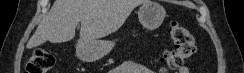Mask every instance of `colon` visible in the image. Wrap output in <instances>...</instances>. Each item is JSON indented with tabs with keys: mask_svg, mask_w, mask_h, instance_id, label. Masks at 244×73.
<instances>
[{
	"mask_svg": "<svg viewBox=\"0 0 244 73\" xmlns=\"http://www.w3.org/2000/svg\"><path fill=\"white\" fill-rule=\"evenodd\" d=\"M170 34L173 47L164 50L158 58L165 72L174 71L183 66L196 50L194 36L182 24L172 22ZM54 65L53 55L43 49H35L25 66V73H50Z\"/></svg>",
	"mask_w": 244,
	"mask_h": 73,
	"instance_id": "5ec220e1",
	"label": "colon"
}]
</instances>
